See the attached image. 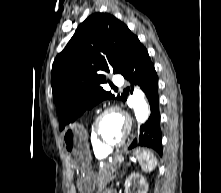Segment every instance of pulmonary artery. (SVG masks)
I'll return each instance as SVG.
<instances>
[{"mask_svg":"<svg viewBox=\"0 0 221 193\" xmlns=\"http://www.w3.org/2000/svg\"><path fill=\"white\" fill-rule=\"evenodd\" d=\"M113 83L115 84L116 87H120L124 83V78L121 75H119V74L114 75Z\"/></svg>","mask_w":221,"mask_h":193,"instance_id":"e3ab8cb5","label":"pulmonary artery"}]
</instances>
